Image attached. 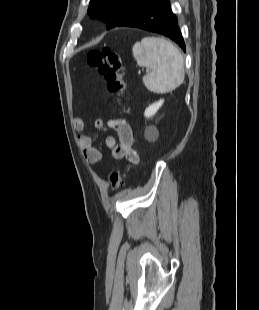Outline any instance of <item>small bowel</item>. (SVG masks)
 Segmentation results:
<instances>
[{
    "label": "small bowel",
    "instance_id": "obj_1",
    "mask_svg": "<svg viewBox=\"0 0 259 310\" xmlns=\"http://www.w3.org/2000/svg\"><path fill=\"white\" fill-rule=\"evenodd\" d=\"M95 124L96 127L102 131L114 129L117 132L119 138L118 143H116V140L112 135L107 136L105 139V145L111 150L115 160L126 158L131 163L138 162L139 157L133 149V130L128 122L121 119H115L109 120L105 124L101 119H97ZM73 127L77 132H82L85 128L84 120L78 117L74 118ZM78 146L89 163L94 164L101 160V152L93 145V141L88 135L80 134L78 136Z\"/></svg>",
    "mask_w": 259,
    "mask_h": 310
}]
</instances>
